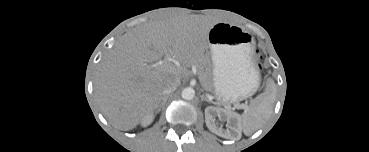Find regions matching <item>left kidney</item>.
<instances>
[{
	"mask_svg": "<svg viewBox=\"0 0 369 152\" xmlns=\"http://www.w3.org/2000/svg\"><path fill=\"white\" fill-rule=\"evenodd\" d=\"M219 118H224L227 121L228 128L226 130L218 127L214 121V115ZM205 121L208 129L216 135L227 138L237 139L240 136V125L238 122L237 115L235 113L226 111L221 108L208 106L205 109Z\"/></svg>",
	"mask_w": 369,
	"mask_h": 152,
	"instance_id": "1",
	"label": "left kidney"
}]
</instances>
